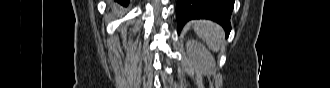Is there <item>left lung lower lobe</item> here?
I'll return each instance as SVG.
<instances>
[{
  "label": "left lung lower lobe",
  "instance_id": "0a47b994",
  "mask_svg": "<svg viewBox=\"0 0 330 88\" xmlns=\"http://www.w3.org/2000/svg\"><path fill=\"white\" fill-rule=\"evenodd\" d=\"M234 0H177L178 34L191 19H210L219 23L226 32L231 31L230 17Z\"/></svg>",
  "mask_w": 330,
  "mask_h": 88
}]
</instances>
